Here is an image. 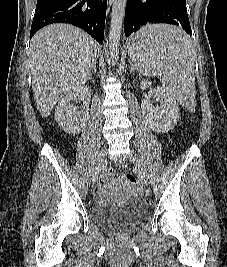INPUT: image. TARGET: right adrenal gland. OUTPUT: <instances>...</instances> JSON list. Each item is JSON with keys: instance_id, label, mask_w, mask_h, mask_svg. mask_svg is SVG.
Wrapping results in <instances>:
<instances>
[{"instance_id": "1", "label": "right adrenal gland", "mask_w": 227, "mask_h": 267, "mask_svg": "<svg viewBox=\"0 0 227 267\" xmlns=\"http://www.w3.org/2000/svg\"><path fill=\"white\" fill-rule=\"evenodd\" d=\"M95 72H96V63L94 64L93 69H92V71H91V73H90V75L88 77L89 80L91 79L92 74L95 73Z\"/></svg>"}]
</instances>
